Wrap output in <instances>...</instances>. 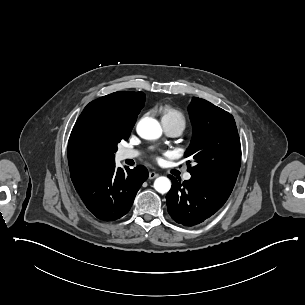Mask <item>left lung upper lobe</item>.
I'll return each mask as SVG.
<instances>
[{
	"instance_id": "1",
	"label": "left lung upper lobe",
	"mask_w": 305,
	"mask_h": 305,
	"mask_svg": "<svg viewBox=\"0 0 305 305\" xmlns=\"http://www.w3.org/2000/svg\"><path fill=\"white\" fill-rule=\"evenodd\" d=\"M188 111L193 137L185 157L196 164L189 165L188 172L195 178L234 185L241 164V145L233 116L197 97Z\"/></svg>"
}]
</instances>
